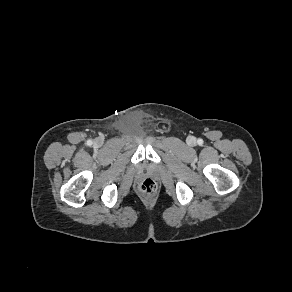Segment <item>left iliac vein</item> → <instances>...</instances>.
<instances>
[{"label": "left iliac vein", "mask_w": 292, "mask_h": 292, "mask_svg": "<svg viewBox=\"0 0 292 292\" xmlns=\"http://www.w3.org/2000/svg\"><path fill=\"white\" fill-rule=\"evenodd\" d=\"M191 142H194V140H193V139H191Z\"/></svg>", "instance_id": "obj_1"}]
</instances>
